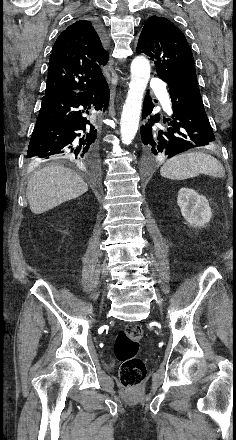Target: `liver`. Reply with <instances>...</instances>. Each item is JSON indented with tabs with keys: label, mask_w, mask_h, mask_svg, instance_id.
Listing matches in <instances>:
<instances>
[{
	"label": "liver",
	"mask_w": 236,
	"mask_h": 440,
	"mask_svg": "<svg viewBox=\"0 0 236 440\" xmlns=\"http://www.w3.org/2000/svg\"><path fill=\"white\" fill-rule=\"evenodd\" d=\"M87 190V184L74 171L51 165L32 175L26 196L30 210L38 215L83 195Z\"/></svg>",
	"instance_id": "obj_1"
}]
</instances>
